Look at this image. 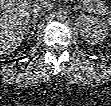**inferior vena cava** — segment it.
Returning <instances> with one entry per match:
<instances>
[{"mask_svg": "<svg viewBox=\"0 0 111 106\" xmlns=\"http://www.w3.org/2000/svg\"><path fill=\"white\" fill-rule=\"evenodd\" d=\"M47 5L43 1H34L32 8L30 9V14L34 17L40 18L47 13Z\"/></svg>", "mask_w": 111, "mask_h": 106, "instance_id": "1", "label": "inferior vena cava"}]
</instances>
